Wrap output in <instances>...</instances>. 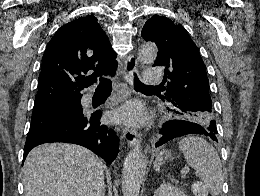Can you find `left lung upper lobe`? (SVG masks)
<instances>
[{
    "label": "left lung upper lobe",
    "mask_w": 260,
    "mask_h": 196,
    "mask_svg": "<svg viewBox=\"0 0 260 196\" xmlns=\"http://www.w3.org/2000/svg\"><path fill=\"white\" fill-rule=\"evenodd\" d=\"M142 37L154 42L158 55L153 66H163L164 78H168L165 96L176 120H186L207 127L215 122V111L209 95L206 67L197 46L187 31L163 16L147 20Z\"/></svg>",
    "instance_id": "obj_1"
}]
</instances>
